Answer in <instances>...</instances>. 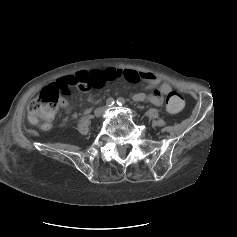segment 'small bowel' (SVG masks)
Instances as JSON below:
<instances>
[{
	"label": "small bowel",
	"instance_id": "c3829d8e",
	"mask_svg": "<svg viewBox=\"0 0 237 237\" xmlns=\"http://www.w3.org/2000/svg\"><path fill=\"white\" fill-rule=\"evenodd\" d=\"M102 77V83L94 86V88H102L106 83L114 80H124L130 83L145 81L150 88H155L156 91L146 95L144 93H136L133 96L134 101L143 102L148 100L156 106H161L164 102V97L171 92V86L167 82H163L159 76L153 73H142L134 70H122L115 68H108L102 72H96ZM61 106L69 110V103L64 101Z\"/></svg>",
	"mask_w": 237,
	"mask_h": 237
}]
</instances>
